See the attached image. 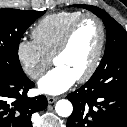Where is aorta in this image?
Instances as JSON below:
<instances>
[{"label": "aorta", "mask_w": 127, "mask_h": 127, "mask_svg": "<svg viewBox=\"0 0 127 127\" xmlns=\"http://www.w3.org/2000/svg\"><path fill=\"white\" fill-rule=\"evenodd\" d=\"M56 113L61 117H69L72 114L73 106L69 100H59L55 105Z\"/></svg>", "instance_id": "1"}]
</instances>
